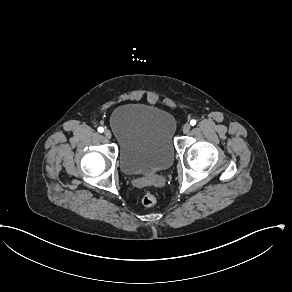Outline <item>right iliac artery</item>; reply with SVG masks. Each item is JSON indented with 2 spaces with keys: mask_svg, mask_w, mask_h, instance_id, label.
Returning <instances> with one entry per match:
<instances>
[{
  "mask_svg": "<svg viewBox=\"0 0 292 292\" xmlns=\"http://www.w3.org/2000/svg\"><path fill=\"white\" fill-rule=\"evenodd\" d=\"M104 131L103 127H98V132L102 133Z\"/></svg>",
  "mask_w": 292,
  "mask_h": 292,
  "instance_id": "right-iliac-artery-1",
  "label": "right iliac artery"
}]
</instances>
